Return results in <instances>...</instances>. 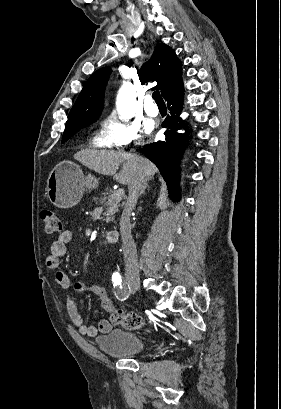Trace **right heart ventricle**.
<instances>
[{
  "mask_svg": "<svg viewBox=\"0 0 281 409\" xmlns=\"http://www.w3.org/2000/svg\"><path fill=\"white\" fill-rule=\"evenodd\" d=\"M95 145H96L97 147H102V146H103L98 139L96 140Z\"/></svg>",
  "mask_w": 281,
  "mask_h": 409,
  "instance_id": "obj_1",
  "label": "right heart ventricle"
}]
</instances>
